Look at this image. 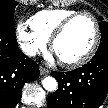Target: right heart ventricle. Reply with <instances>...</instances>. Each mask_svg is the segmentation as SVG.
Masks as SVG:
<instances>
[{
  "label": "right heart ventricle",
  "instance_id": "e07e8e85",
  "mask_svg": "<svg viewBox=\"0 0 108 108\" xmlns=\"http://www.w3.org/2000/svg\"><path fill=\"white\" fill-rule=\"evenodd\" d=\"M77 13L72 9H45L35 13L29 19V24L36 33L47 41L52 36L56 28L69 16Z\"/></svg>",
  "mask_w": 108,
  "mask_h": 108
}]
</instances>
